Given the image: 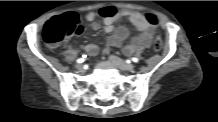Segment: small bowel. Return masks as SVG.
<instances>
[{"label":"small bowel","instance_id":"small-bowel-1","mask_svg":"<svg viewBox=\"0 0 218 122\" xmlns=\"http://www.w3.org/2000/svg\"><path fill=\"white\" fill-rule=\"evenodd\" d=\"M102 17V25L107 33H112L108 39V46H120L123 41L128 37L129 32L125 27H118L115 29L114 22L127 19L140 33L135 36L130 44L124 47L127 54L136 52L137 50L149 47L155 35V26L150 24L147 17L137 11L131 10H117L113 6L102 7L99 11L89 12L86 15V20L90 22L93 30H98L100 24L96 19ZM87 55L95 57L98 54V46L95 44H88L84 47Z\"/></svg>","mask_w":218,"mask_h":122}]
</instances>
